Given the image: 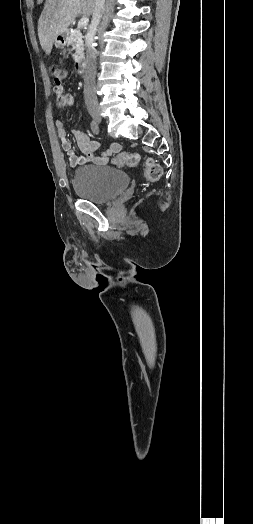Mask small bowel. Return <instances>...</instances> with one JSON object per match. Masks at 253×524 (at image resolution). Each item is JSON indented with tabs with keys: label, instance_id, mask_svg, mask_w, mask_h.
<instances>
[{
	"label": "small bowel",
	"instance_id": "small-bowel-1",
	"mask_svg": "<svg viewBox=\"0 0 253 524\" xmlns=\"http://www.w3.org/2000/svg\"><path fill=\"white\" fill-rule=\"evenodd\" d=\"M58 105L61 107H70L74 103V98L71 94L65 93L63 88L53 89ZM57 135L59 137L61 147L68 156V164L70 167H76L79 165H86L93 163L96 165H106L111 156L117 154L121 150L119 143L112 142L108 145L107 149L100 155H96L95 152L100 147V143L92 141L89 136L81 130H73V136L76 140L77 146L81 151V155L75 153L72 148L71 142L67 139V128L62 120H56L55 122Z\"/></svg>",
	"mask_w": 253,
	"mask_h": 524
}]
</instances>
